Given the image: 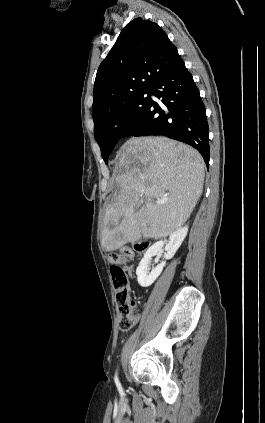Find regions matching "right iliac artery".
Returning a JSON list of instances; mask_svg holds the SVG:
<instances>
[{
  "mask_svg": "<svg viewBox=\"0 0 265 423\" xmlns=\"http://www.w3.org/2000/svg\"><path fill=\"white\" fill-rule=\"evenodd\" d=\"M115 383H116L117 385H119V381H118L117 375L115 376Z\"/></svg>",
  "mask_w": 265,
  "mask_h": 423,
  "instance_id": "1",
  "label": "right iliac artery"
}]
</instances>
